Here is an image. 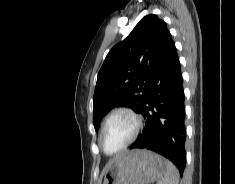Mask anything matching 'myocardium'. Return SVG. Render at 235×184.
Wrapping results in <instances>:
<instances>
[{"instance_id":"1","label":"myocardium","mask_w":235,"mask_h":184,"mask_svg":"<svg viewBox=\"0 0 235 184\" xmlns=\"http://www.w3.org/2000/svg\"><path fill=\"white\" fill-rule=\"evenodd\" d=\"M118 114H127L133 119L134 131H133L131 137L127 140V142L117 152H115L113 154H109L103 149L102 144H101V138H102V134L105 131V129L107 128V126L110 124L112 119ZM141 129H142V117L135 109H133L132 107H129V106L115 107L107 114V116L105 117V119L103 121V124H102L101 129L98 134V146L104 155L110 156V157L118 156L121 153H123L130 145H132L135 142V140L138 138V136L141 132Z\"/></svg>"}]
</instances>
